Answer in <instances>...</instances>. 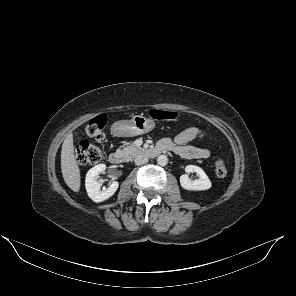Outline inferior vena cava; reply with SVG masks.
<instances>
[{"mask_svg":"<svg viewBox=\"0 0 296 296\" xmlns=\"http://www.w3.org/2000/svg\"><path fill=\"white\" fill-rule=\"evenodd\" d=\"M148 162V157L146 155L140 154L134 158V163L136 165H142Z\"/></svg>","mask_w":296,"mask_h":296,"instance_id":"1","label":"inferior vena cava"}]
</instances>
